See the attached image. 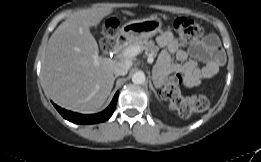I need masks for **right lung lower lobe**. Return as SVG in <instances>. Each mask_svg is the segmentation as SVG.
I'll return each mask as SVG.
<instances>
[{
  "mask_svg": "<svg viewBox=\"0 0 261 162\" xmlns=\"http://www.w3.org/2000/svg\"><path fill=\"white\" fill-rule=\"evenodd\" d=\"M119 92H116L112 102L110 105L102 112L98 114H92V115H84V114H78L75 112H71L68 110H65L63 108H60L56 104L53 103L55 108L58 110V112L68 121L73 122L75 124H94V123H100L108 120L111 115L113 114L117 99H118Z\"/></svg>",
  "mask_w": 261,
  "mask_h": 162,
  "instance_id": "obj_1",
  "label": "right lung lower lobe"
}]
</instances>
